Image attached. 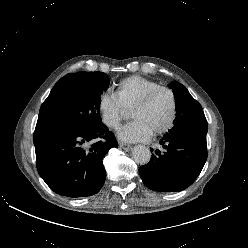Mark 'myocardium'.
<instances>
[{
	"mask_svg": "<svg viewBox=\"0 0 248 248\" xmlns=\"http://www.w3.org/2000/svg\"><path fill=\"white\" fill-rule=\"evenodd\" d=\"M161 91H165L170 95L171 101H172V109H171V114H170L168 121L161 128L155 130L152 133L153 135H160V134H163L169 131L175 123L177 112H178V102H177L176 94L173 91V89L167 86H158L156 88H153L150 91H148L141 99H139L131 108L132 110L135 108H143L147 106L151 102L153 97Z\"/></svg>",
	"mask_w": 248,
	"mask_h": 248,
	"instance_id": "myocardium-1",
	"label": "myocardium"
}]
</instances>
